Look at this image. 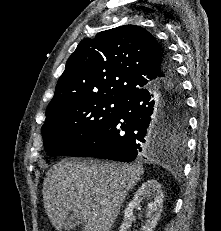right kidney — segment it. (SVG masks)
Masks as SVG:
<instances>
[{
    "label": "right kidney",
    "instance_id": "1",
    "mask_svg": "<svg viewBox=\"0 0 221 231\" xmlns=\"http://www.w3.org/2000/svg\"><path fill=\"white\" fill-rule=\"evenodd\" d=\"M144 199L148 200L146 210V223L142 226L141 231H153L160 219L163 207V192L161 185L157 180H147L137 190L133 200L128 204L124 210V221L120 226L119 231H128L130 220L133 217V209L138 206ZM129 220V221H128Z\"/></svg>",
    "mask_w": 221,
    "mask_h": 231
}]
</instances>
